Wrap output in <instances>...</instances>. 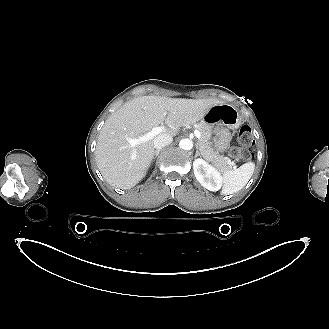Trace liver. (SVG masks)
Returning <instances> with one entry per match:
<instances>
[{"label":"liver","mask_w":329,"mask_h":329,"mask_svg":"<svg viewBox=\"0 0 329 329\" xmlns=\"http://www.w3.org/2000/svg\"><path fill=\"white\" fill-rule=\"evenodd\" d=\"M221 103L214 98L160 96H142L124 103L108 117L98 136L95 158L102 176L113 187H134L151 164L154 139L131 147L127 137L137 139L164 121L169 128L162 134L176 136L177 129L200 121L212 106Z\"/></svg>","instance_id":"6515ba94"}]
</instances>
